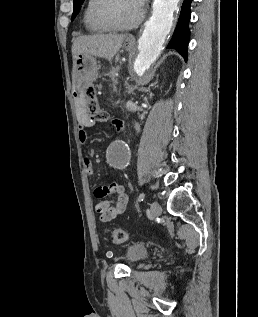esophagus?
Masks as SVG:
<instances>
[{"label": "esophagus", "mask_w": 258, "mask_h": 317, "mask_svg": "<svg viewBox=\"0 0 258 317\" xmlns=\"http://www.w3.org/2000/svg\"><path fill=\"white\" fill-rule=\"evenodd\" d=\"M129 38H130V39H135V37H134V36H129Z\"/></svg>", "instance_id": "34e87169"}]
</instances>
